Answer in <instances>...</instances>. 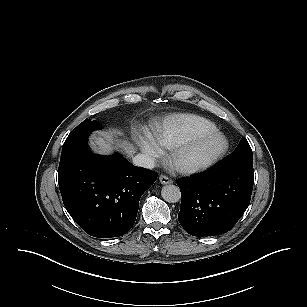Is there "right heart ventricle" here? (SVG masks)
<instances>
[{"mask_svg": "<svg viewBox=\"0 0 307 307\" xmlns=\"http://www.w3.org/2000/svg\"><path fill=\"white\" fill-rule=\"evenodd\" d=\"M217 130L216 125L197 115L171 114L154 124L148 137L159 146L169 149L176 147L192 137Z\"/></svg>", "mask_w": 307, "mask_h": 307, "instance_id": "1", "label": "right heart ventricle"}]
</instances>
